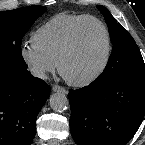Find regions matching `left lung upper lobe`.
Masks as SVG:
<instances>
[{"mask_svg":"<svg viewBox=\"0 0 145 145\" xmlns=\"http://www.w3.org/2000/svg\"><path fill=\"white\" fill-rule=\"evenodd\" d=\"M97 8L107 23L113 49L104 71L96 81L103 83L118 76L145 72V64L135 40L107 8L101 5H97Z\"/></svg>","mask_w":145,"mask_h":145,"instance_id":"5c2ea615","label":"left lung upper lobe"}]
</instances>
